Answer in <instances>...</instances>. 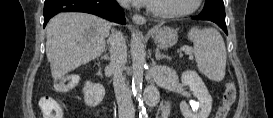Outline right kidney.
I'll return each instance as SVG.
<instances>
[{"label": "right kidney", "mask_w": 273, "mask_h": 118, "mask_svg": "<svg viewBox=\"0 0 273 118\" xmlns=\"http://www.w3.org/2000/svg\"><path fill=\"white\" fill-rule=\"evenodd\" d=\"M84 101L87 106L95 107L101 103L105 95V89L100 84L86 82L83 88Z\"/></svg>", "instance_id": "1"}]
</instances>
